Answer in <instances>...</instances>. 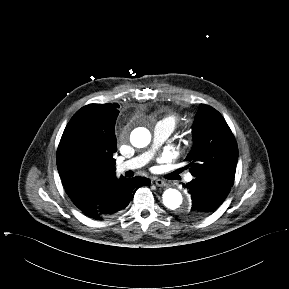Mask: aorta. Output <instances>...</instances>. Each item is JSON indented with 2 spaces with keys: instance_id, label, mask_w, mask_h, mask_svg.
Here are the masks:
<instances>
[{
  "instance_id": "762f6f07",
  "label": "aorta",
  "mask_w": 289,
  "mask_h": 289,
  "mask_svg": "<svg viewBox=\"0 0 289 289\" xmlns=\"http://www.w3.org/2000/svg\"><path fill=\"white\" fill-rule=\"evenodd\" d=\"M151 134L146 128H137L132 136L131 143L137 148H143L150 143ZM163 204L170 210H181L186 212L190 209V204L186 201L184 203L182 194L173 188L164 191L162 195Z\"/></svg>"
}]
</instances>
